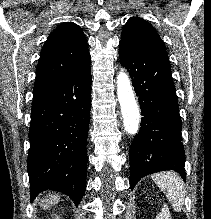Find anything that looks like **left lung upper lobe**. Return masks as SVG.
Listing matches in <instances>:
<instances>
[{
	"label": "left lung upper lobe",
	"instance_id": "1",
	"mask_svg": "<svg viewBox=\"0 0 211 219\" xmlns=\"http://www.w3.org/2000/svg\"><path fill=\"white\" fill-rule=\"evenodd\" d=\"M121 42L143 50L166 51V47L153 26L139 17L130 18L124 25Z\"/></svg>",
	"mask_w": 211,
	"mask_h": 219
}]
</instances>
